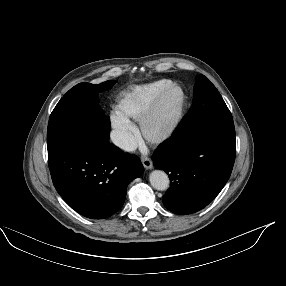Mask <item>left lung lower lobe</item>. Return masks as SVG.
I'll use <instances>...</instances> for the list:
<instances>
[{"instance_id": "1", "label": "left lung lower lobe", "mask_w": 286, "mask_h": 286, "mask_svg": "<svg viewBox=\"0 0 286 286\" xmlns=\"http://www.w3.org/2000/svg\"><path fill=\"white\" fill-rule=\"evenodd\" d=\"M235 131H209L180 139L174 135L152 155L164 170L170 188L162 197L176 214H190L207 206L228 181L235 161Z\"/></svg>"}]
</instances>
